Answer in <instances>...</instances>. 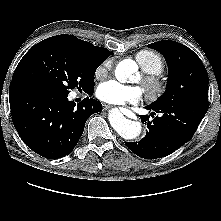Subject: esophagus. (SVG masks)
<instances>
[{
    "mask_svg": "<svg viewBox=\"0 0 221 221\" xmlns=\"http://www.w3.org/2000/svg\"><path fill=\"white\" fill-rule=\"evenodd\" d=\"M109 108H110L109 105H104V109H105V110H107V109H109Z\"/></svg>",
    "mask_w": 221,
    "mask_h": 221,
    "instance_id": "esophagus-1",
    "label": "esophagus"
}]
</instances>
